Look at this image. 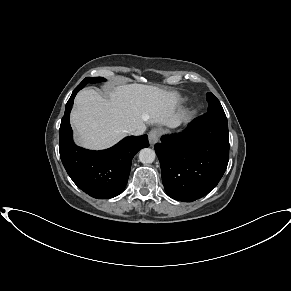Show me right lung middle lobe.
Segmentation results:
<instances>
[{
    "label": "right lung middle lobe",
    "instance_id": "obj_1",
    "mask_svg": "<svg viewBox=\"0 0 291 291\" xmlns=\"http://www.w3.org/2000/svg\"><path fill=\"white\" fill-rule=\"evenodd\" d=\"M101 81H105V79L101 77H88V78H85L80 84L82 85V87H84L89 82L96 83V82H101Z\"/></svg>",
    "mask_w": 291,
    "mask_h": 291
}]
</instances>
